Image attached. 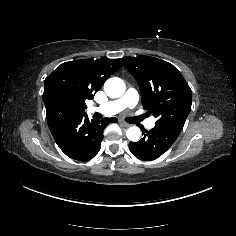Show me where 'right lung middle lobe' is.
<instances>
[{
    "label": "right lung middle lobe",
    "instance_id": "dd1d6c3e",
    "mask_svg": "<svg viewBox=\"0 0 236 236\" xmlns=\"http://www.w3.org/2000/svg\"><path fill=\"white\" fill-rule=\"evenodd\" d=\"M50 115H51L52 117H55L56 119L63 118V115H62V114L56 113L54 110H52V111L50 112Z\"/></svg>",
    "mask_w": 236,
    "mask_h": 236
}]
</instances>
